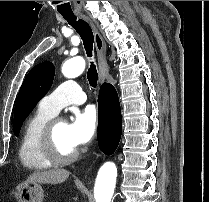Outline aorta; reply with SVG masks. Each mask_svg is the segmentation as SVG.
I'll return each instance as SVG.
<instances>
[{
    "mask_svg": "<svg viewBox=\"0 0 209 202\" xmlns=\"http://www.w3.org/2000/svg\"><path fill=\"white\" fill-rule=\"evenodd\" d=\"M85 60L82 57L71 58L64 62L62 74L66 78H75L83 73ZM117 168L113 162L104 163L98 171L94 186L95 202H111L116 185Z\"/></svg>",
    "mask_w": 209,
    "mask_h": 202,
    "instance_id": "1",
    "label": "aorta"
}]
</instances>
